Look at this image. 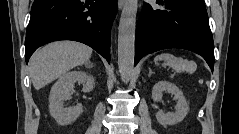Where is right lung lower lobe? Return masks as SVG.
<instances>
[{"label": "right lung lower lobe", "instance_id": "1", "mask_svg": "<svg viewBox=\"0 0 239 134\" xmlns=\"http://www.w3.org/2000/svg\"><path fill=\"white\" fill-rule=\"evenodd\" d=\"M116 12L117 0H35L26 31V63L38 47L57 40L87 44L110 63Z\"/></svg>", "mask_w": 239, "mask_h": 134}]
</instances>
